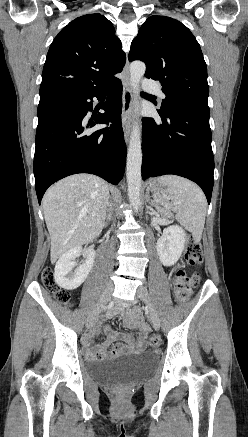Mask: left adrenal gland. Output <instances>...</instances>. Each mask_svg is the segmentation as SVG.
I'll use <instances>...</instances> for the list:
<instances>
[{"mask_svg": "<svg viewBox=\"0 0 248 437\" xmlns=\"http://www.w3.org/2000/svg\"><path fill=\"white\" fill-rule=\"evenodd\" d=\"M146 200H147V202H148L151 206H154L153 202L150 200V196H149V193H148V192H147V194H146Z\"/></svg>", "mask_w": 248, "mask_h": 437, "instance_id": "left-adrenal-gland-1", "label": "left adrenal gland"}]
</instances>
